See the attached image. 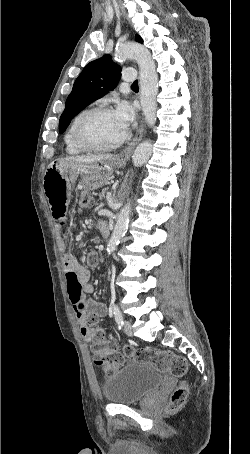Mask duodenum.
<instances>
[{"label": "duodenum", "mask_w": 250, "mask_h": 454, "mask_svg": "<svg viewBox=\"0 0 250 454\" xmlns=\"http://www.w3.org/2000/svg\"><path fill=\"white\" fill-rule=\"evenodd\" d=\"M100 224H103V226H100ZM98 229L100 230V232L102 233L103 236H105V237L108 236L109 229H108V226H106L104 223H99Z\"/></svg>", "instance_id": "1"}]
</instances>
